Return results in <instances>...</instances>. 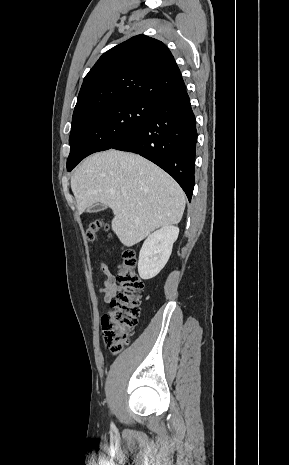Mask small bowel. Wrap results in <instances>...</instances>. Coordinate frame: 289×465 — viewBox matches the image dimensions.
<instances>
[{
  "instance_id": "c3829d8e",
  "label": "small bowel",
  "mask_w": 289,
  "mask_h": 465,
  "mask_svg": "<svg viewBox=\"0 0 289 465\" xmlns=\"http://www.w3.org/2000/svg\"><path fill=\"white\" fill-rule=\"evenodd\" d=\"M104 286L99 289L105 302H111L120 291V286L116 282L115 276L110 272L106 264L101 265Z\"/></svg>"
}]
</instances>
